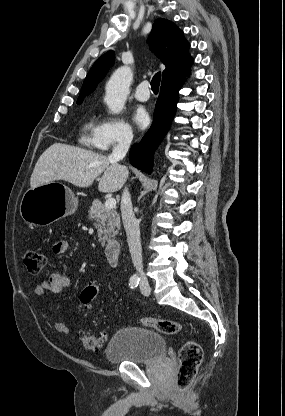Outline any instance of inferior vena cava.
I'll use <instances>...</instances> for the list:
<instances>
[{
    "mask_svg": "<svg viewBox=\"0 0 285 416\" xmlns=\"http://www.w3.org/2000/svg\"><path fill=\"white\" fill-rule=\"evenodd\" d=\"M132 142V136L128 134V132H121L118 138L117 146H114L112 150V154L108 156L109 162L111 164H117L120 160L125 158L128 148ZM121 214L122 220L124 224V228L127 234L128 246L130 248V254L132 258V262L140 272L141 276H145L143 272L142 266V248L140 242V230H139V222L136 220L132 208V202L130 198V194L128 192V188H125L122 198H121Z\"/></svg>",
    "mask_w": 285,
    "mask_h": 416,
    "instance_id": "obj_1",
    "label": "inferior vena cava"
}]
</instances>
